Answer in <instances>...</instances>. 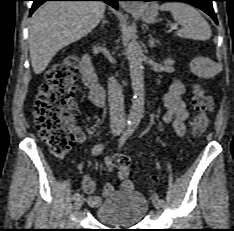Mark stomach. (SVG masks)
I'll use <instances>...</instances> for the list:
<instances>
[{"instance_id":"1","label":"stomach","mask_w":234,"mask_h":231,"mask_svg":"<svg viewBox=\"0 0 234 231\" xmlns=\"http://www.w3.org/2000/svg\"><path fill=\"white\" fill-rule=\"evenodd\" d=\"M158 7L157 5H150L141 13V18L147 23H154L157 21Z\"/></svg>"}]
</instances>
